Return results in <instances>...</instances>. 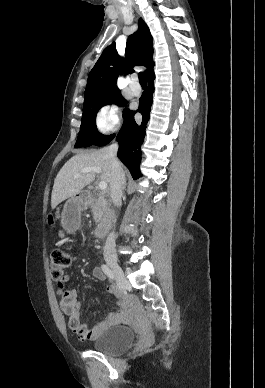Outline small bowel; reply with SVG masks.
<instances>
[{
	"label": "small bowel",
	"mask_w": 265,
	"mask_h": 388,
	"mask_svg": "<svg viewBox=\"0 0 265 388\" xmlns=\"http://www.w3.org/2000/svg\"><path fill=\"white\" fill-rule=\"evenodd\" d=\"M102 271V268L95 267L93 270V276L97 280L103 281L105 279V275ZM67 279L68 276H66V282ZM107 291L110 294H118L117 289L112 285L107 287ZM118 297L119 298L117 306L119 307V311L117 313L109 314L105 320L99 322L94 327L90 328L87 324L81 322V301L78 299L77 292L75 290H68L62 295V299L60 301L61 311L67 316V324L65 323L63 318H60L58 321V328L61 331H65L68 327L70 330H72L73 333L78 336L80 340L93 341L108 327L120 323H125L130 320V299L124 294H118Z\"/></svg>",
	"instance_id": "c3829d8e"
}]
</instances>
